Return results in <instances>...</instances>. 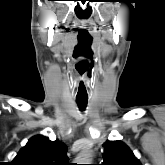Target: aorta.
I'll list each match as a JSON object with an SVG mask.
<instances>
[{"label":"aorta","mask_w":165,"mask_h":165,"mask_svg":"<svg viewBox=\"0 0 165 165\" xmlns=\"http://www.w3.org/2000/svg\"><path fill=\"white\" fill-rule=\"evenodd\" d=\"M91 152L89 150L82 151L75 159L77 164H91Z\"/></svg>","instance_id":"obj_1"}]
</instances>
